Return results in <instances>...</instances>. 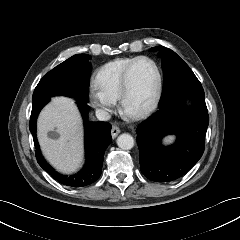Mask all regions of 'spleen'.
Segmentation results:
<instances>
[{"label": "spleen", "instance_id": "3e777b00", "mask_svg": "<svg viewBox=\"0 0 240 240\" xmlns=\"http://www.w3.org/2000/svg\"><path fill=\"white\" fill-rule=\"evenodd\" d=\"M175 137L174 136H168V137H165L163 142L164 144H170L174 141Z\"/></svg>", "mask_w": 240, "mask_h": 240}]
</instances>
